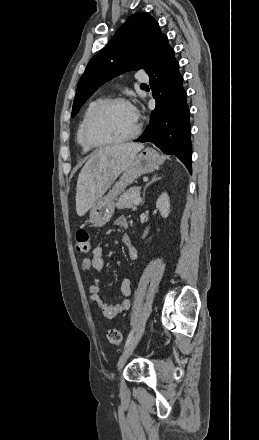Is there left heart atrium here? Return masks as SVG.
Listing matches in <instances>:
<instances>
[{"label":"left heart atrium","mask_w":259,"mask_h":440,"mask_svg":"<svg viewBox=\"0 0 259 440\" xmlns=\"http://www.w3.org/2000/svg\"><path fill=\"white\" fill-rule=\"evenodd\" d=\"M132 108H133V111H134L136 117H138L137 110L134 107H132Z\"/></svg>","instance_id":"1"}]
</instances>
